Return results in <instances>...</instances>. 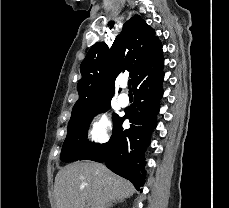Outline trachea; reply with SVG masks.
I'll list each match as a JSON object with an SVG mask.
<instances>
[{"mask_svg": "<svg viewBox=\"0 0 229 208\" xmlns=\"http://www.w3.org/2000/svg\"><path fill=\"white\" fill-rule=\"evenodd\" d=\"M131 85H132V82H131V80H129L128 81V88H129L130 91H131Z\"/></svg>", "mask_w": 229, "mask_h": 208, "instance_id": "trachea-1", "label": "trachea"}]
</instances>
